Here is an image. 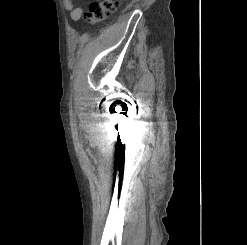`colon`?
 <instances>
[{
  "instance_id": "obj_1",
  "label": "colon",
  "mask_w": 247,
  "mask_h": 245,
  "mask_svg": "<svg viewBox=\"0 0 247 245\" xmlns=\"http://www.w3.org/2000/svg\"><path fill=\"white\" fill-rule=\"evenodd\" d=\"M119 0H98L90 4L86 13L87 21L96 24L107 20L116 11Z\"/></svg>"
}]
</instances>
